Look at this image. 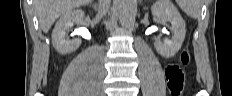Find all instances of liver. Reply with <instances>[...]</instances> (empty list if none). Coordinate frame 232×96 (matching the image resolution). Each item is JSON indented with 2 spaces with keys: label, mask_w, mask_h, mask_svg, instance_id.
Returning <instances> with one entry per match:
<instances>
[{
  "label": "liver",
  "mask_w": 232,
  "mask_h": 96,
  "mask_svg": "<svg viewBox=\"0 0 232 96\" xmlns=\"http://www.w3.org/2000/svg\"><path fill=\"white\" fill-rule=\"evenodd\" d=\"M92 0H34L39 24L43 32L47 33L60 15Z\"/></svg>",
  "instance_id": "6515ba94"
}]
</instances>
